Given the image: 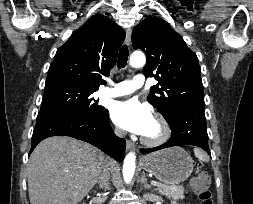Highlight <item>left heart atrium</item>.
<instances>
[{"label": "left heart atrium", "instance_id": "39dd6f15", "mask_svg": "<svg viewBox=\"0 0 253 204\" xmlns=\"http://www.w3.org/2000/svg\"><path fill=\"white\" fill-rule=\"evenodd\" d=\"M111 117L119 127L140 135L146 132L154 120L151 109L136 99L115 103Z\"/></svg>", "mask_w": 253, "mask_h": 204}]
</instances>
